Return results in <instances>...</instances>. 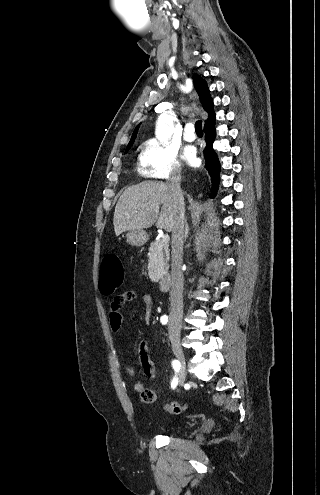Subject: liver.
<instances>
[{"mask_svg": "<svg viewBox=\"0 0 320 495\" xmlns=\"http://www.w3.org/2000/svg\"><path fill=\"white\" fill-rule=\"evenodd\" d=\"M176 208L177 203L168 184L147 181L129 187L115 207V235L131 229L149 228L154 223L157 228L172 232Z\"/></svg>", "mask_w": 320, "mask_h": 495, "instance_id": "liver-1", "label": "liver"}]
</instances>
